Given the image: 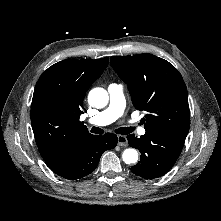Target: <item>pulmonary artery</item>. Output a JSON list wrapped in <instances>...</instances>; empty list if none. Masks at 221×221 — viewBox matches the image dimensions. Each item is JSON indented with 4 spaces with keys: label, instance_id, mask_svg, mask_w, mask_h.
<instances>
[{
    "label": "pulmonary artery",
    "instance_id": "obj_1",
    "mask_svg": "<svg viewBox=\"0 0 221 221\" xmlns=\"http://www.w3.org/2000/svg\"><path fill=\"white\" fill-rule=\"evenodd\" d=\"M110 102L108 107L98 113L96 116L90 118L88 123L95 126H105L111 124L120 116H122L125 109V97L123 93V86L120 84H110L108 87ZM138 133L144 135L146 130L142 127L138 128Z\"/></svg>",
    "mask_w": 221,
    "mask_h": 221
}]
</instances>
